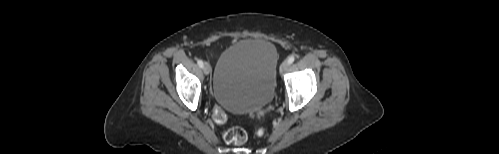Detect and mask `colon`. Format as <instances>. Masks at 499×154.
Instances as JSON below:
<instances>
[{
	"mask_svg": "<svg viewBox=\"0 0 499 154\" xmlns=\"http://www.w3.org/2000/svg\"><path fill=\"white\" fill-rule=\"evenodd\" d=\"M261 113L262 112H258L257 114L260 115ZM212 118L216 124L223 125L227 122L228 115L223 107L216 105L213 108ZM223 138L228 143L241 145V144L246 142L247 133L242 128L232 127V128L227 129L223 133Z\"/></svg>",
	"mask_w": 499,
	"mask_h": 154,
	"instance_id": "5ec220e1",
	"label": "colon"
}]
</instances>
